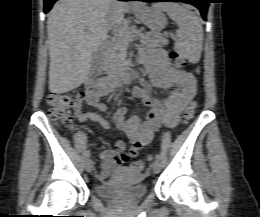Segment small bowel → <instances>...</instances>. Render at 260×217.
Instances as JSON below:
<instances>
[{
	"instance_id": "1",
	"label": "small bowel",
	"mask_w": 260,
	"mask_h": 217,
	"mask_svg": "<svg viewBox=\"0 0 260 217\" xmlns=\"http://www.w3.org/2000/svg\"><path fill=\"white\" fill-rule=\"evenodd\" d=\"M140 63L146 68L150 78L149 84L136 86L132 90L134 97L140 99L150 110L145 114L144 119L133 116L125 119L127 108L120 106L114 113L116 127L126 133L131 140V147L125 152V143L121 140L116 142L115 149L104 150L101 154L102 170L98 176L107 180L109 175L128 162L132 157L153 139L154 132L164 125L168 128L175 127L180 118L181 112L193 100L196 94V81L194 76L184 70L174 69L166 53L163 50L145 51L140 56ZM151 86L166 90L164 99L154 96ZM105 93L85 92L86 104L97 111H105L106 105L100 102ZM74 116L80 121L92 120L98 122L104 129H110V124L98 113L82 111V103L74 106Z\"/></svg>"
}]
</instances>
